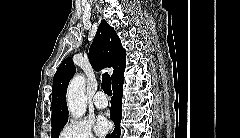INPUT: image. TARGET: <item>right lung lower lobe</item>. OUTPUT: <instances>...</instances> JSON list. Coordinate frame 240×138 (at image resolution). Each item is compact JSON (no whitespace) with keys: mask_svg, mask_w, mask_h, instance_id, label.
Masks as SVG:
<instances>
[{"mask_svg":"<svg viewBox=\"0 0 240 138\" xmlns=\"http://www.w3.org/2000/svg\"><path fill=\"white\" fill-rule=\"evenodd\" d=\"M124 80H121L114 85L113 88V98L111 101L110 115L111 119L114 121L115 128L111 134H108L106 138H120V122L122 118V88Z\"/></svg>","mask_w":240,"mask_h":138,"instance_id":"1","label":"right lung lower lobe"}]
</instances>
